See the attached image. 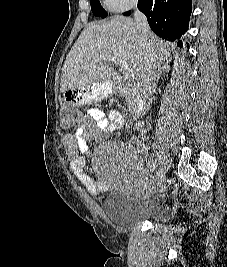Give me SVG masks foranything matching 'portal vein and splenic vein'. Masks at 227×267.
<instances>
[{"mask_svg": "<svg viewBox=\"0 0 227 267\" xmlns=\"http://www.w3.org/2000/svg\"><path fill=\"white\" fill-rule=\"evenodd\" d=\"M103 60H106V58H103ZM114 63L121 67V70H123L124 79L126 81H132L134 79V74L132 73V70L125 65L124 61L115 60Z\"/></svg>", "mask_w": 227, "mask_h": 267, "instance_id": "portal-vein-and-splenic-vein-1", "label": "portal vein and splenic vein"}]
</instances>
